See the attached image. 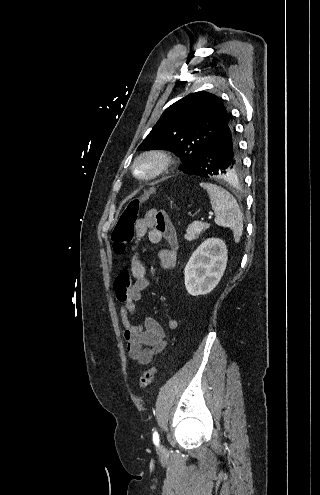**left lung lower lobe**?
Returning <instances> with one entry per match:
<instances>
[{"label":"left lung lower lobe","instance_id":"left-lung-lower-lobe-1","mask_svg":"<svg viewBox=\"0 0 320 495\" xmlns=\"http://www.w3.org/2000/svg\"><path fill=\"white\" fill-rule=\"evenodd\" d=\"M241 158L230 119L197 155L193 165L183 172L203 177L234 176L239 171Z\"/></svg>","mask_w":320,"mask_h":495}]
</instances>
